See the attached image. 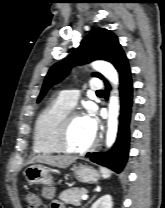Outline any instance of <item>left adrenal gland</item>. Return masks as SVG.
Here are the masks:
<instances>
[{"label": "left adrenal gland", "instance_id": "left-adrenal-gland-1", "mask_svg": "<svg viewBox=\"0 0 165 208\" xmlns=\"http://www.w3.org/2000/svg\"><path fill=\"white\" fill-rule=\"evenodd\" d=\"M94 197H95V196H93L92 199H91L90 201H88L87 204H85V206H87V205L94 199ZM85 206H84L83 208H85Z\"/></svg>", "mask_w": 165, "mask_h": 208}]
</instances>
